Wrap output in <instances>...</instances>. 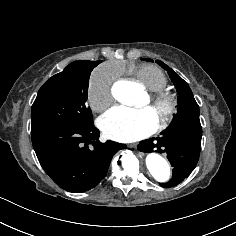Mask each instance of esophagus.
<instances>
[{
  "label": "esophagus",
  "mask_w": 236,
  "mask_h": 236,
  "mask_svg": "<svg viewBox=\"0 0 236 236\" xmlns=\"http://www.w3.org/2000/svg\"><path fill=\"white\" fill-rule=\"evenodd\" d=\"M129 147L134 148V147H136V145L135 144H131V145H129Z\"/></svg>",
  "instance_id": "esophagus-1"
}]
</instances>
